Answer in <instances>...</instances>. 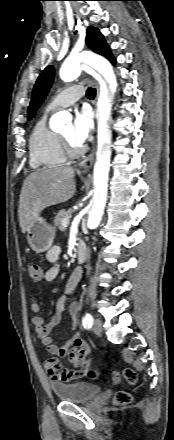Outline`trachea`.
Returning a JSON list of instances; mask_svg holds the SVG:
<instances>
[{
  "instance_id": "1",
  "label": "trachea",
  "mask_w": 174,
  "mask_h": 440,
  "mask_svg": "<svg viewBox=\"0 0 174 440\" xmlns=\"http://www.w3.org/2000/svg\"><path fill=\"white\" fill-rule=\"evenodd\" d=\"M96 90L94 88H88L86 95L89 99H93L95 97Z\"/></svg>"
}]
</instances>
